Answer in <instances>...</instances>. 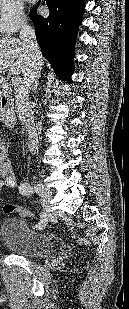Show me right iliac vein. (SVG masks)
Here are the masks:
<instances>
[{
	"label": "right iliac vein",
	"mask_w": 129,
	"mask_h": 309,
	"mask_svg": "<svg viewBox=\"0 0 129 309\" xmlns=\"http://www.w3.org/2000/svg\"><path fill=\"white\" fill-rule=\"evenodd\" d=\"M35 191L36 193L41 197V200L45 206L46 209V217H45V221H43L39 227V229H43L47 222H48V218L50 216V208H49V202L51 200L52 197V193L50 192V190L48 188H46L43 184L38 183L35 185Z\"/></svg>",
	"instance_id": "obj_1"
}]
</instances>
